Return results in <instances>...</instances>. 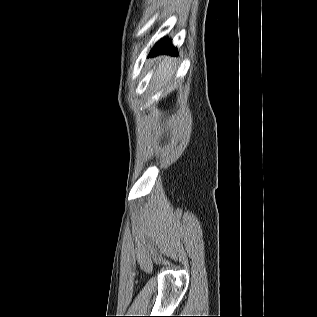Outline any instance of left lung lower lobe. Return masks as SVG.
<instances>
[{
    "label": "left lung lower lobe",
    "mask_w": 317,
    "mask_h": 317,
    "mask_svg": "<svg viewBox=\"0 0 317 317\" xmlns=\"http://www.w3.org/2000/svg\"><path fill=\"white\" fill-rule=\"evenodd\" d=\"M170 54V55H177V50L172 46L171 41L168 39H161L158 41L154 47L152 48L149 56H156L159 54Z\"/></svg>",
    "instance_id": "0a47b994"
}]
</instances>
